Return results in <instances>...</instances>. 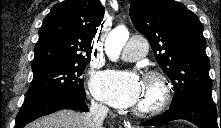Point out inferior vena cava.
<instances>
[{
	"label": "inferior vena cava",
	"mask_w": 221,
	"mask_h": 128,
	"mask_svg": "<svg viewBox=\"0 0 221 128\" xmlns=\"http://www.w3.org/2000/svg\"><path fill=\"white\" fill-rule=\"evenodd\" d=\"M109 109L101 104L92 102L89 112L85 115L87 128H102L103 121Z\"/></svg>",
	"instance_id": "602c4592"
}]
</instances>
